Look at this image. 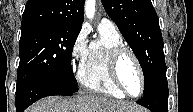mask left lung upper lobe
I'll list each match as a JSON object with an SVG mask.
<instances>
[{
    "mask_svg": "<svg viewBox=\"0 0 193 112\" xmlns=\"http://www.w3.org/2000/svg\"><path fill=\"white\" fill-rule=\"evenodd\" d=\"M102 4L142 67L145 93L166 68L162 34L151 0H102Z\"/></svg>",
    "mask_w": 193,
    "mask_h": 112,
    "instance_id": "1",
    "label": "left lung upper lobe"
}]
</instances>
